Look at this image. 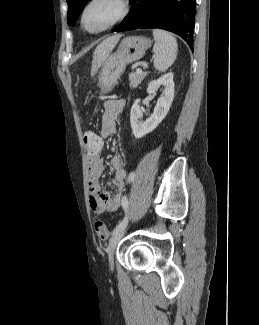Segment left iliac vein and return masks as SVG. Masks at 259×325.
Returning a JSON list of instances; mask_svg holds the SVG:
<instances>
[{"label": "left iliac vein", "instance_id": "obj_1", "mask_svg": "<svg viewBox=\"0 0 259 325\" xmlns=\"http://www.w3.org/2000/svg\"><path fill=\"white\" fill-rule=\"evenodd\" d=\"M124 233H125V228H123L118 233L114 234L109 241V244L107 247V254H108V259H109L110 270L114 269V261H113L114 251L116 249L117 244L123 237Z\"/></svg>", "mask_w": 259, "mask_h": 325}]
</instances>
